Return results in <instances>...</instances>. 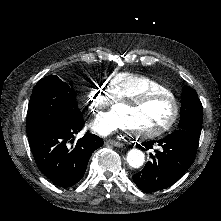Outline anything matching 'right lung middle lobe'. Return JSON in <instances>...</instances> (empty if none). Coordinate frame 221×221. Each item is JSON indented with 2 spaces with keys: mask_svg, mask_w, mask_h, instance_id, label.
<instances>
[{
  "mask_svg": "<svg viewBox=\"0 0 221 221\" xmlns=\"http://www.w3.org/2000/svg\"><path fill=\"white\" fill-rule=\"evenodd\" d=\"M82 119L72 83L56 75L42 78L33 89L27 113V135L47 127H60Z\"/></svg>",
  "mask_w": 221,
  "mask_h": 221,
  "instance_id": "1",
  "label": "right lung middle lobe"
}]
</instances>
